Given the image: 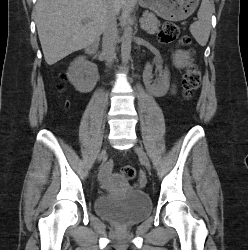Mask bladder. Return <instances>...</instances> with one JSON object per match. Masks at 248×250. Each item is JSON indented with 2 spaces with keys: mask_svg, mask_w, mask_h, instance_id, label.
<instances>
[{
  "mask_svg": "<svg viewBox=\"0 0 248 250\" xmlns=\"http://www.w3.org/2000/svg\"><path fill=\"white\" fill-rule=\"evenodd\" d=\"M151 209L150 198L135 190L128 191L121 197L103 194L95 200V211L99 216L127 226L146 218Z\"/></svg>",
  "mask_w": 248,
  "mask_h": 250,
  "instance_id": "bladder-1",
  "label": "bladder"
}]
</instances>
